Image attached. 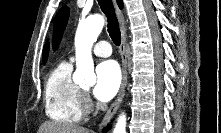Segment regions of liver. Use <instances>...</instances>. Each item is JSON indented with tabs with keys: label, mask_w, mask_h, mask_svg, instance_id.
<instances>
[{
	"label": "liver",
	"mask_w": 221,
	"mask_h": 133,
	"mask_svg": "<svg viewBox=\"0 0 221 133\" xmlns=\"http://www.w3.org/2000/svg\"><path fill=\"white\" fill-rule=\"evenodd\" d=\"M38 133H92L89 129L57 122L43 123Z\"/></svg>",
	"instance_id": "6515ba94"
}]
</instances>
